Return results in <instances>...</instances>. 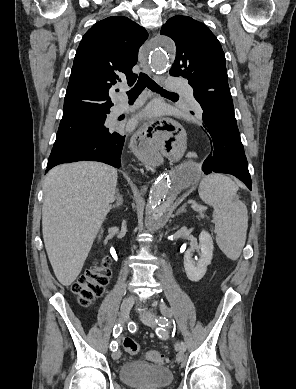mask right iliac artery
Wrapping results in <instances>:
<instances>
[{"instance_id":"82829eb1","label":"right iliac artery","mask_w":296,"mask_h":389,"mask_svg":"<svg viewBox=\"0 0 296 389\" xmlns=\"http://www.w3.org/2000/svg\"><path fill=\"white\" fill-rule=\"evenodd\" d=\"M122 332V325L120 323L116 324L113 329V336L118 337L120 333ZM118 348V344L116 341L111 342L110 349L112 351H116Z\"/></svg>"}]
</instances>
